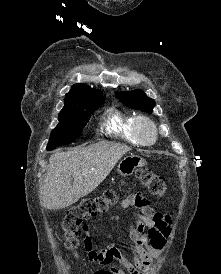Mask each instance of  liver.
Returning a JSON list of instances; mask_svg holds the SVG:
<instances>
[{"label":"liver","mask_w":221,"mask_h":274,"mask_svg":"<svg viewBox=\"0 0 221 274\" xmlns=\"http://www.w3.org/2000/svg\"><path fill=\"white\" fill-rule=\"evenodd\" d=\"M130 150L126 145L99 142L51 155L41 189V205L63 209L76 203L95 190Z\"/></svg>","instance_id":"1"}]
</instances>
